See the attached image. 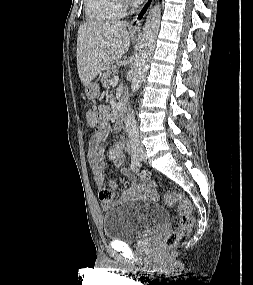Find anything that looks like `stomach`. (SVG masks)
Returning <instances> with one entry per match:
<instances>
[{
    "label": "stomach",
    "instance_id": "1",
    "mask_svg": "<svg viewBox=\"0 0 253 285\" xmlns=\"http://www.w3.org/2000/svg\"><path fill=\"white\" fill-rule=\"evenodd\" d=\"M85 94L88 99H96L100 94V87L97 81L90 82L85 87Z\"/></svg>",
    "mask_w": 253,
    "mask_h": 285
}]
</instances>
